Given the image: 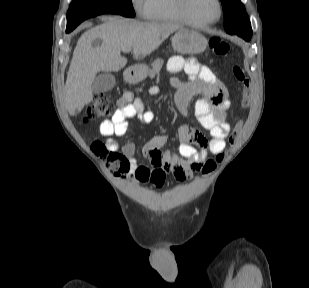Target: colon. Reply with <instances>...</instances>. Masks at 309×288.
<instances>
[{
	"label": "colon",
	"mask_w": 309,
	"mask_h": 288,
	"mask_svg": "<svg viewBox=\"0 0 309 288\" xmlns=\"http://www.w3.org/2000/svg\"><path fill=\"white\" fill-rule=\"evenodd\" d=\"M211 48L219 56H226L229 53L230 45L227 41L221 39H212L210 42ZM232 73L235 79L242 85V97L240 100L241 108L245 109L249 106L252 97V87L250 80L248 79L244 69L240 65H234L232 68ZM116 111V106L112 99L106 93H97L91 105L88 107L84 120L90 119H102L113 115ZM242 122L238 121L235 128L231 131L229 135L230 145L235 144L238 138L239 130L241 128ZM92 150L101 156L106 162L109 169H112L119 173L126 172L124 167L127 162L123 155L110 151L106 144L102 141L95 140L92 143ZM224 159V153H219L214 159H209L202 165V172L208 174L212 172L218 163L222 162Z\"/></svg>",
	"instance_id": "obj_1"
}]
</instances>
